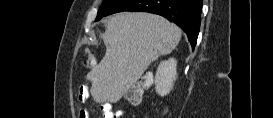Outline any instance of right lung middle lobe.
<instances>
[{
    "mask_svg": "<svg viewBox=\"0 0 273 118\" xmlns=\"http://www.w3.org/2000/svg\"><path fill=\"white\" fill-rule=\"evenodd\" d=\"M123 0H103V3L98 11L96 21L102 17L110 15L112 11L122 2Z\"/></svg>",
    "mask_w": 273,
    "mask_h": 118,
    "instance_id": "dd1d6c3e",
    "label": "right lung middle lobe"
}]
</instances>
